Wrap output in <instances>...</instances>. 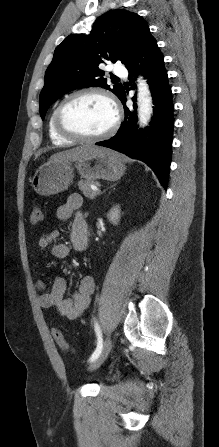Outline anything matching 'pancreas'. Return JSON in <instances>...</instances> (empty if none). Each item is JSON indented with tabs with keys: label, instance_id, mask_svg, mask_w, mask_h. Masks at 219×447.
<instances>
[{
	"label": "pancreas",
	"instance_id": "obj_1",
	"mask_svg": "<svg viewBox=\"0 0 219 447\" xmlns=\"http://www.w3.org/2000/svg\"><path fill=\"white\" fill-rule=\"evenodd\" d=\"M92 184L98 185V182H94V181H90V180H80V181L78 182L79 190L82 191V193H83V195H84L85 197L90 198V199L95 198V197L97 196V194H98L97 192H94V191L91 189L90 186H91Z\"/></svg>",
	"mask_w": 219,
	"mask_h": 447
}]
</instances>
